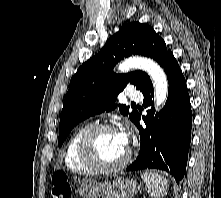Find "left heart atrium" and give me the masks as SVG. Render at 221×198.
Masks as SVG:
<instances>
[{
	"instance_id": "39dd6f15",
	"label": "left heart atrium",
	"mask_w": 221,
	"mask_h": 198,
	"mask_svg": "<svg viewBox=\"0 0 221 198\" xmlns=\"http://www.w3.org/2000/svg\"><path fill=\"white\" fill-rule=\"evenodd\" d=\"M118 137H119L120 141L122 142V144L127 147L128 143H129L128 132L126 130H122V131L118 132Z\"/></svg>"
}]
</instances>
